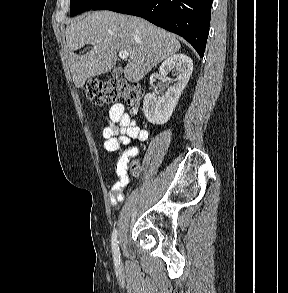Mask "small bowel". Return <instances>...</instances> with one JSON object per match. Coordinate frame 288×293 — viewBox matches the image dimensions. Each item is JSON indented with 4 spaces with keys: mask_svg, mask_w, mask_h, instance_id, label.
Listing matches in <instances>:
<instances>
[{
    "mask_svg": "<svg viewBox=\"0 0 288 293\" xmlns=\"http://www.w3.org/2000/svg\"><path fill=\"white\" fill-rule=\"evenodd\" d=\"M107 126L103 130V147L107 152L117 151L121 145L126 149L116 160L115 171L118 180L108 184L110 203L116 207L124 200L123 189L129 182L127 164L130 158L138 154V148L133 144L135 140L145 141L148 131L137 124L136 118L131 117L121 103L112 105L106 116Z\"/></svg>",
    "mask_w": 288,
    "mask_h": 293,
    "instance_id": "1",
    "label": "small bowel"
}]
</instances>
